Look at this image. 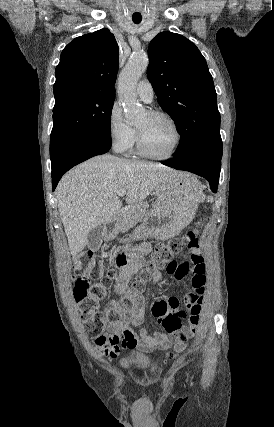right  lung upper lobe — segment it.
Instances as JSON below:
<instances>
[{"label":"right lung upper lobe","mask_w":274,"mask_h":427,"mask_svg":"<svg viewBox=\"0 0 274 427\" xmlns=\"http://www.w3.org/2000/svg\"><path fill=\"white\" fill-rule=\"evenodd\" d=\"M118 66V44L108 29L75 38L56 67L55 104L71 96H115Z\"/></svg>","instance_id":"1"}]
</instances>
